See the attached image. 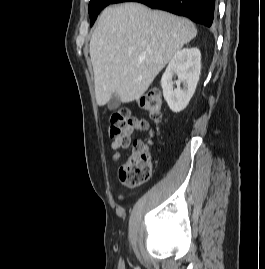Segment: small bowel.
I'll use <instances>...</instances> for the list:
<instances>
[{"mask_svg": "<svg viewBox=\"0 0 265 269\" xmlns=\"http://www.w3.org/2000/svg\"><path fill=\"white\" fill-rule=\"evenodd\" d=\"M144 123H145V128L143 129V131L148 129L147 121L144 120ZM111 149L116 152L115 155H114V158H117L119 156V150H121L117 140L112 141Z\"/></svg>", "mask_w": 265, "mask_h": 269, "instance_id": "1", "label": "small bowel"}]
</instances>
